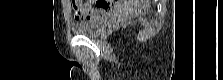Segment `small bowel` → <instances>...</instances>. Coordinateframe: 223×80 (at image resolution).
Wrapping results in <instances>:
<instances>
[{"label": "small bowel", "mask_w": 223, "mask_h": 80, "mask_svg": "<svg viewBox=\"0 0 223 80\" xmlns=\"http://www.w3.org/2000/svg\"><path fill=\"white\" fill-rule=\"evenodd\" d=\"M72 7L77 19H91L100 16L110 10L119 8L118 3L97 2L95 8L90 3L73 2Z\"/></svg>", "instance_id": "1"}]
</instances>
